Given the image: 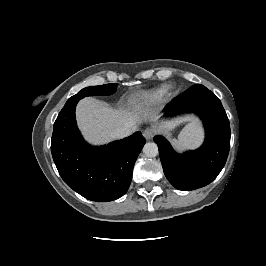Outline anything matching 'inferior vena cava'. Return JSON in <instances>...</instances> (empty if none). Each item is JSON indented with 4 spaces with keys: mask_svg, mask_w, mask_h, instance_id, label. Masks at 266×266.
Wrapping results in <instances>:
<instances>
[{
    "mask_svg": "<svg viewBox=\"0 0 266 266\" xmlns=\"http://www.w3.org/2000/svg\"><path fill=\"white\" fill-rule=\"evenodd\" d=\"M132 134V124H126L115 130L114 135L117 138H124Z\"/></svg>",
    "mask_w": 266,
    "mask_h": 266,
    "instance_id": "602c4592",
    "label": "inferior vena cava"
}]
</instances>
